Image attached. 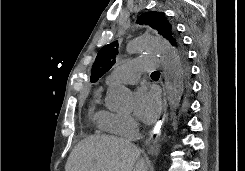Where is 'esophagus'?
<instances>
[{
  "label": "esophagus",
  "instance_id": "esophagus-1",
  "mask_svg": "<svg viewBox=\"0 0 245 171\" xmlns=\"http://www.w3.org/2000/svg\"><path fill=\"white\" fill-rule=\"evenodd\" d=\"M167 108H168V103H167V98L166 95L164 93V97H163V102H162V107H161V111L159 113L158 116V120L155 124V126L153 127L149 138L146 142V145L149 147V152H156L158 150V146L156 144V141L161 133V129L162 126L167 118Z\"/></svg>",
  "mask_w": 245,
  "mask_h": 171
}]
</instances>
